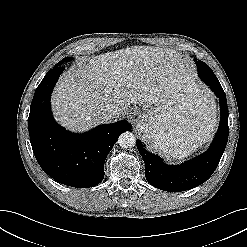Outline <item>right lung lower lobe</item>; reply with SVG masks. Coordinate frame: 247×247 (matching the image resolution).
<instances>
[{
    "label": "right lung lower lobe",
    "instance_id": "98d812e1",
    "mask_svg": "<svg viewBox=\"0 0 247 247\" xmlns=\"http://www.w3.org/2000/svg\"><path fill=\"white\" fill-rule=\"evenodd\" d=\"M65 67L48 71L37 87L28 118L30 142L43 171L67 186L87 188L104 178V163L118 136L130 131L127 121L101 125L84 134L64 130L53 119L50 96Z\"/></svg>",
    "mask_w": 247,
    "mask_h": 247
}]
</instances>
